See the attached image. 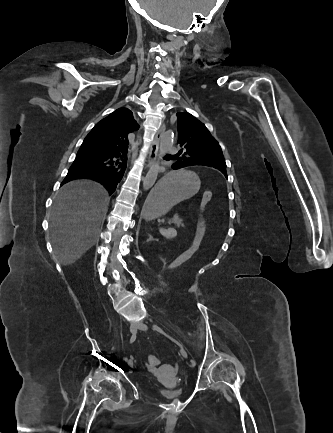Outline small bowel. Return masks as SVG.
<instances>
[{
  "label": "small bowel",
  "instance_id": "obj_1",
  "mask_svg": "<svg viewBox=\"0 0 333 433\" xmlns=\"http://www.w3.org/2000/svg\"><path fill=\"white\" fill-rule=\"evenodd\" d=\"M196 290H197V287H196V286H194V287H192V288L190 289L191 292H195ZM149 371H150L152 374L157 375V369H155V368H149Z\"/></svg>",
  "mask_w": 333,
  "mask_h": 433
}]
</instances>
